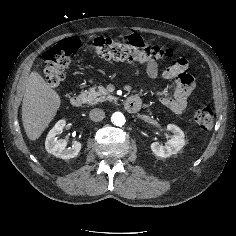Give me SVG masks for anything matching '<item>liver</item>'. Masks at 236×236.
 <instances>
[{
  "mask_svg": "<svg viewBox=\"0 0 236 236\" xmlns=\"http://www.w3.org/2000/svg\"><path fill=\"white\" fill-rule=\"evenodd\" d=\"M61 104L58 93L43 77L32 72L29 75L22 101V121L27 137L35 141L55 117Z\"/></svg>",
  "mask_w": 236,
  "mask_h": 236,
  "instance_id": "6515ba94",
  "label": "liver"
}]
</instances>
